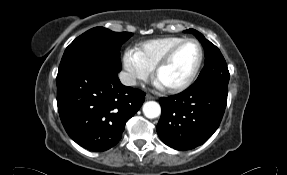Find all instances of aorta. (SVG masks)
I'll use <instances>...</instances> for the list:
<instances>
[{
    "label": "aorta",
    "instance_id": "aorta-1",
    "mask_svg": "<svg viewBox=\"0 0 287 175\" xmlns=\"http://www.w3.org/2000/svg\"><path fill=\"white\" fill-rule=\"evenodd\" d=\"M143 113L149 119L157 118L161 114V107L155 101H148L143 105Z\"/></svg>",
    "mask_w": 287,
    "mask_h": 175
}]
</instances>
